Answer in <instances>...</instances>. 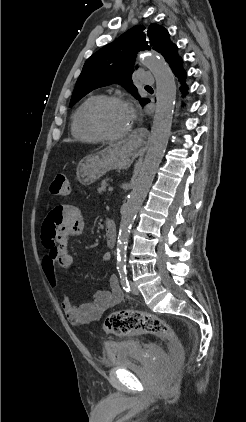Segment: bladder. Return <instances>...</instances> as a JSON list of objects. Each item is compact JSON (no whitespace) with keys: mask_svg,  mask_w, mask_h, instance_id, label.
<instances>
[{"mask_svg":"<svg viewBox=\"0 0 246 422\" xmlns=\"http://www.w3.org/2000/svg\"><path fill=\"white\" fill-rule=\"evenodd\" d=\"M142 352L141 343L136 339H123L110 341L105 345V353L108 364L115 368H126L137 362ZM152 355L155 363L160 368H165L168 364L166 353L160 348H153Z\"/></svg>","mask_w":246,"mask_h":422,"instance_id":"31cf9c89","label":"bladder"}]
</instances>
